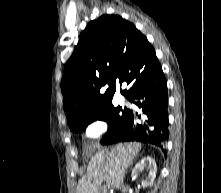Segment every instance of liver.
Segmentation results:
<instances>
[{"label": "liver", "mask_w": 221, "mask_h": 193, "mask_svg": "<svg viewBox=\"0 0 221 193\" xmlns=\"http://www.w3.org/2000/svg\"><path fill=\"white\" fill-rule=\"evenodd\" d=\"M141 147L140 143H124L96 152L88 163L86 174L78 181L77 193H100L103 181L108 187L120 189L125 170Z\"/></svg>", "instance_id": "6515ba94"}]
</instances>
